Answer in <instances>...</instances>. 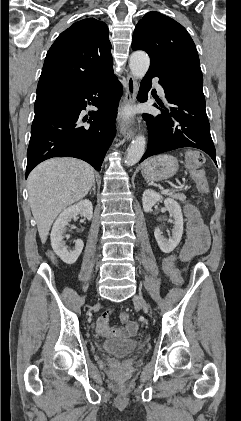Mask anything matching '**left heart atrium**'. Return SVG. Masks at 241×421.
<instances>
[{
  "label": "left heart atrium",
  "mask_w": 241,
  "mask_h": 421,
  "mask_svg": "<svg viewBox=\"0 0 241 421\" xmlns=\"http://www.w3.org/2000/svg\"><path fill=\"white\" fill-rule=\"evenodd\" d=\"M124 115H125V117H126V116L128 115V112H125V113H124Z\"/></svg>",
  "instance_id": "39dd6f15"
}]
</instances>
